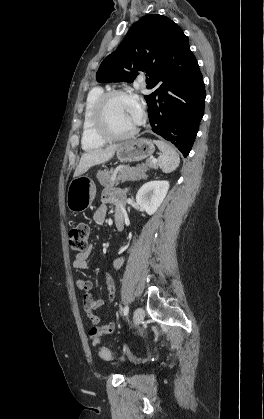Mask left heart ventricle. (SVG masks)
I'll list each match as a JSON object with an SVG mask.
<instances>
[{
    "mask_svg": "<svg viewBox=\"0 0 264 419\" xmlns=\"http://www.w3.org/2000/svg\"><path fill=\"white\" fill-rule=\"evenodd\" d=\"M107 121L114 133H124L136 126L132 114V99L116 97L112 99L106 110Z\"/></svg>",
    "mask_w": 264,
    "mask_h": 419,
    "instance_id": "left-heart-ventricle-1",
    "label": "left heart ventricle"
}]
</instances>
